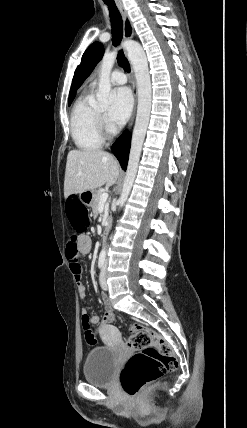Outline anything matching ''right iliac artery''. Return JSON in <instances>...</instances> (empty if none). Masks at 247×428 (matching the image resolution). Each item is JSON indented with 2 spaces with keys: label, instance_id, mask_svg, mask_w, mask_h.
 I'll return each mask as SVG.
<instances>
[{
  "label": "right iliac artery",
  "instance_id": "obj_1",
  "mask_svg": "<svg viewBox=\"0 0 247 428\" xmlns=\"http://www.w3.org/2000/svg\"><path fill=\"white\" fill-rule=\"evenodd\" d=\"M105 264V256H100L98 260V267L101 269Z\"/></svg>",
  "mask_w": 247,
  "mask_h": 428
}]
</instances>
